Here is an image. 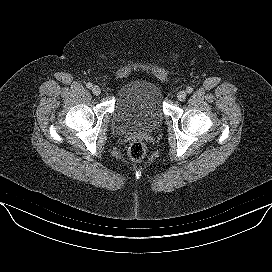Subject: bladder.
I'll use <instances>...</instances> for the list:
<instances>
[{"label":"bladder","instance_id":"1","mask_svg":"<svg viewBox=\"0 0 272 272\" xmlns=\"http://www.w3.org/2000/svg\"><path fill=\"white\" fill-rule=\"evenodd\" d=\"M164 119L163 91L149 78H133L121 87L112 116L118 132L152 131Z\"/></svg>","mask_w":272,"mask_h":272}]
</instances>
